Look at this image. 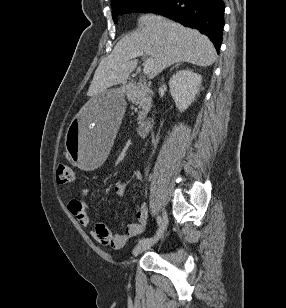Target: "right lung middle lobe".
Returning a JSON list of instances; mask_svg holds the SVG:
<instances>
[{
    "label": "right lung middle lobe",
    "instance_id": "1",
    "mask_svg": "<svg viewBox=\"0 0 286 308\" xmlns=\"http://www.w3.org/2000/svg\"><path fill=\"white\" fill-rule=\"evenodd\" d=\"M168 0H117L112 4V16L114 22L117 21L116 15L132 11L153 12L155 13Z\"/></svg>",
    "mask_w": 286,
    "mask_h": 308
}]
</instances>
